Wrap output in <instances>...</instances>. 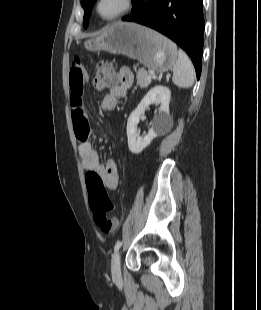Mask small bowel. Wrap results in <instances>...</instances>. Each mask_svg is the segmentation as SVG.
<instances>
[{
	"label": "small bowel",
	"mask_w": 261,
	"mask_h": 310,
	"mask_svg": "<svg viewBox=\"0 0 261 310\" xmlns=\"http://www.w3.org/2000/svg\"><path fill=\"white\" fill-rule=\"evenodd\" d=\"M86 82V72L79 59H74L70 66L69 87L70 105L72 108V119L74 131L79 141L78 152L85 170L97 172L110 190L118 187L119 175L116 163L112 160L101 164L97 151L89 140V124L85 109L83 107L82 95ZM133 84V74L127 69H121L119 83L113 86L110 92L103 98L101 106L104 110L115 109L119 99L124 98Z\"/></svg>",
	"instance_id": "obj_1"
}]
</instances>
